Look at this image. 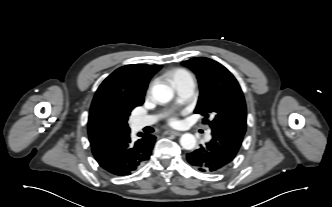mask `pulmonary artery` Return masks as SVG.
<instances>
[{"instance_id":"e3ab8cb5","label":"pulmonary artery","mask_w":332,"mask_h":207,"mask_svg":"<svg viewBox=\"0 0 332 207\" xmlns=\"http://www.w3.org/2000/svg\"><path fill=\"white\" fill-rule=\"evenodd\" d=\"M195 84L192 78L183 81L177 88V94L179 97V102H185L189 100L194 93ZM156 121V116H142L135 118V126L137 128H142L153 124ZM206 138H210V132L206 134Z\"/></svg>"}]
</instances>
